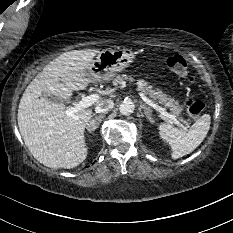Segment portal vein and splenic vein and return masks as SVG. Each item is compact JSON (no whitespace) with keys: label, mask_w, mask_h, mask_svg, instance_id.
Returning a JSON list of instances; mask_svg holds the SVG:
<instances>
[{"label":"portal vein and splenic vein","mask_w":233,"mask_h":233,"mask_svg":"<svg viewBox=\"0 0 233 233\" xmlns=\"http://www.w3.org/2000/svg\"><path fill=\"white\" fill-rule=\"evenodd\" d=\"M140 97L143 99L145 103L153 107L155 110L160 112L162 115H164L166 118H169L177 125H180L179 121L175 118L174 115L168 113L165 108L159 106L158 104L154 103L152 100L147 98L143 93H139ZM98 94H92L86 97H83L78 103H76L73 107H69L66 109L65 113L66 115L72 117L76 112L85 109L87 107L92 106L96 101L99 100Z\"/></svg>","instance_id":"obj_1"}]
</instances>
